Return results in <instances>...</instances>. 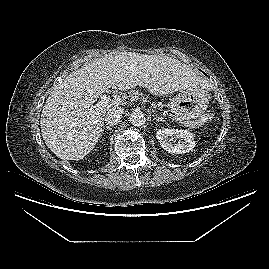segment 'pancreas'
<instances>
[{
  "label": "pancreas",
  "instance_id": "cf45deb5",
  "mask_svg": "<svg viewBox=\"0 0 269 269\" xmlns=\"http://www.w3.org/2000/svg\"><path fill=\"white\" fill-rule=\"evenodd\" d=\"M130 94L133 95V96H138L139 95V91L131 90L130 91Z\"/></svg>",
  "mask_w": 269,
  "mask_h": 269
}]
</instances>
